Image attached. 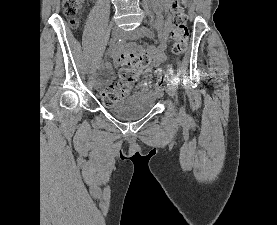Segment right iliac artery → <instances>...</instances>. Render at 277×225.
I'll return each mask as SVG.
<instances>
[{"instance_id": "right-iliac-artery-1", "label": "right iliac artery", "mask_w": 277, "mask_h": 225, "mask_svg": "<svg viewBox=\"0 0 277 225\" xmlns=\"http://www.w3.org/2000/svg\"><path fill=\"white\" fill-rule=\"evenodd\" d=\"M124 43H125V40L121 39V38L118 41L111 40L110 43H109V49H117V48L123 46ZM99 69H100V66H99L98 70L94 74V81H99L100 80Z\"/></svg>"}]
</instances>
